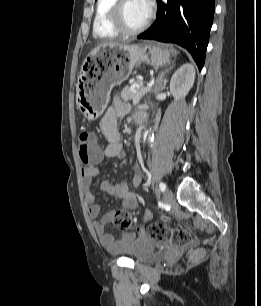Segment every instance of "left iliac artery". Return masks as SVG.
Here are the masks:
<instances>
[{
  "label": "left iliac artery",
  "instance_id": "obj_1",
  "mask_svg": "<svg viewBox=\"0 0 261 306\" xmlns=\"http://www.w3.org/2000/svg\"><path fill=\"white\" fill-rule=\"evenodd\" d=\"M159 188H160V190H161L162 192H164V191H165V189H166V185H165V183L160 182V183H159Z\"/></svg>",
  "mask_w": 261,
  "mask_h": 306
}]
</instances>
